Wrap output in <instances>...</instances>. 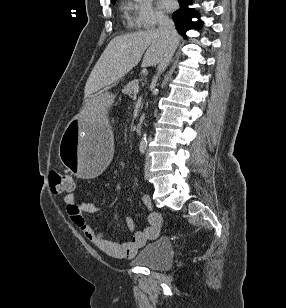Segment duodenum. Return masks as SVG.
<instances>
[{"instance_id": "1", "label": "duodenum", "mask_w": 286, "mask_h": 308, "mask_svg": "<svg viewBox=\"0 0 286 308\" xmlns=\"http://www.w3.org/2000/svg\"><path fill=\"white\" fill-rule=\"evenodd\" d=\"M135 130L137 133H141L143 130V122L139 121L136 123Z\"/></svg>"}]
</instances>
